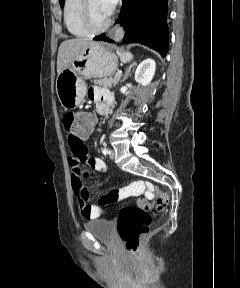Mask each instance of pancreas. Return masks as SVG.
I'll use <instances>...</instances> for the list:
<instances>
[{
	"label": "pancreas",
	"mask_w": 240,
	"mask_h": 288,
	"mask_svg": "<svg viewBox=\"0 0 240 288\" xmlns=\"http://www.w3.org/2000/svg\"><path fill=\"white\" fill-rule=\"evenodd\" d=\"M120 79H121V76L115 75L114 77H109V78L104 77L101 79H95L93 83L95 85L111 88L112 86L117 85Z\"/></svg>",
	"instance_id": "1"
}]
</instances>
